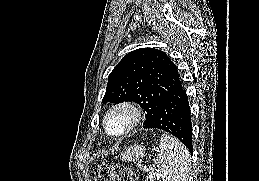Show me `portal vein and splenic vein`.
Instances as JSON below:
<instances>
[{"label": "portal vein and splenic vein", "mask_w": 259, "mask_h": 181, "mask_svg": "<svg viewBox=\"0 0 259 181\" xmlns=\"http://www.w3.org/2000/svg\"><path fill=\"white\" fill-rule=\"evenodd\" d=\"M143 170H144L145 172H147V171L149 170V168H148L147 166H145V167L143 168Z\"/></svg>", "instance_id": "18ae733b"}]
</instances>
